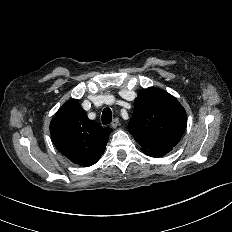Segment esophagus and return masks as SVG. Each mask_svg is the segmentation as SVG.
Listing matches in <instances>:
<instances>
[{
	"mask_svg": "<svg viewBox=\"0 0 232 232\" xmlns=\"http://www.w3.org/2000/svg\"><path fill=\"white\" fill-rule=\"evenodd\" d=\"M119 125V119L118 118H114L112 123H111V126L113 128H116L117 126Z\"/></svg>",
	"mask_w": 232,
	"mask_h": 232,
	"instance_id": "34e87169",
	"label": "esophagus"
}]
</instances>
